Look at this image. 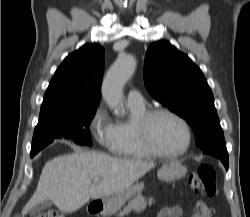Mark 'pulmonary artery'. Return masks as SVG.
<instances>
[{
  "label": "pulmonary artery",
  "mask_w": 250,
  "mask_h": 217,
  "mask_svg": "<svg viewBox=\"0 0 250 217\" xmlns=\"http://www.w3.org/2000/svg\"><path fill=\"white\" fill-rule=\"evenodd\" d=\"M144 97L137 89H131L127 94V103L132 106H143Z\"/></svg>",
  "instance_id": "e3ab8cb5"
}]
</instances>
